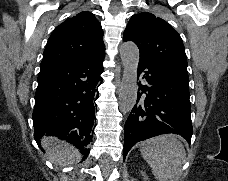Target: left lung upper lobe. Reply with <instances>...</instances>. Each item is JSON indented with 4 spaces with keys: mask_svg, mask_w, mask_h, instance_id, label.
Listing matches in <instances>:
<instances>
[{
    "mask_svg": "<svg viewBox=\"0 0 228 181\" xmlns=\"http://www.w3.org/2000/svg\"><path fill=\"white\" fill-rule=\"evenodd\" d=\"M123 37L138 46L140 58L159 60L187 71L182 39L163 19L148 12L133 15Z\"/></svg>",
    "mask_w": 228,
    "mask_h": 181,
    "instance_id": "5c2ea615",
    "label": "left lung upper lobe"
}]
</instances>
